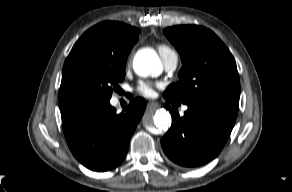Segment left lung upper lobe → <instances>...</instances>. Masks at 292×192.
<instances>
[{
  "label": "left lung upper lobe",
  "instance_id": "5c2ea615",
  "mask_svg": "<svg viewBox=\"0 0 292 192\" xmlns=\"http://www.w3.org/2000/svg\"><path fill=\"white\" fill-rule=\"evenodd\" d=\"M164 34L181 56L179 81L164 97L184 104H227L238 107L240 81L235 60L209 29L196 25L169 27Z\"/></svg>",
  "mask_w": 292,
  "mask_h": 192
}]
</instances>
